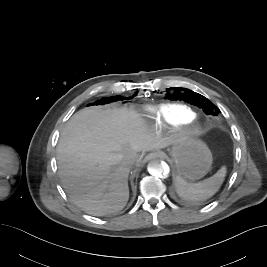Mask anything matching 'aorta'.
<instances>
[{
  "mask_svg": "<svg viewBox=\"0 0 267 267\" xmlns=\"http://www.w3.org/2000/svg\"><path fill=\"white\" fill-rule=\"evenodd\" d=\"M147 170L152 176L157 178H166L170 172L168 164L160 159L150 161Z\"/></svg>",
  "mask_w": 267,
  "mask_h": 267,
  "instance_id": "obj_1",
  "label": "aorta"
}]
</instances>
